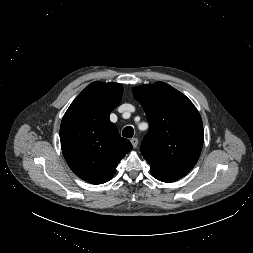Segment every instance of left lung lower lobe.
Segmentation results:
<instances>
[{"label":"left lung lower lobe","mask_w":253,"mask_h":253,"mask_svg":"<svg viewBox=\"0 0 253 253\" xmlns=\"http://www.w3.org/2000/svg\"><path fill=\"white\" fill-rule=\"evenodd\" d=\"M152 173V172H151ZM152 175L159 181H162V182H174V181H177L178 179L176 178H173V177H168V176H164V175H161V174H158V173H152Z\"/></svg>","instance_id":"1"}]
</instances>
